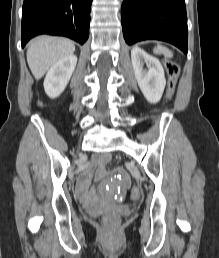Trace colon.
<instances>
[{
	"label": "colon",
	"instance_id": "1",
	"mask_svg": "<svg viewBox=\"0 0 219 258\" xmlns=\"http://www.w3.org/2000/svg\"><path fill=\"white\" fill-rule=\"evenodd\" d=\"M164 68L167 73V90L166 98L168 100L172 99L177 85V79L180 72L179 65L171 60L166 59L164 61ZM141 195V191L138 187H133L131 189V197L133 199H138ZM120 226V217L116 212H109L103 218V231L106 236H112L118 231Z\"/></svg>",
	"mask_w": 219,
	"mask_h": 258
}]
</instances>
